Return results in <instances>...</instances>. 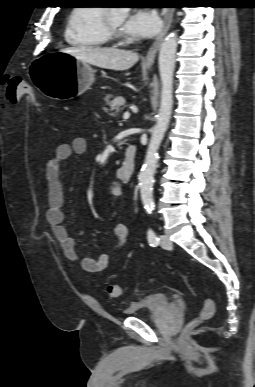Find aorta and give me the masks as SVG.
<instances>
[{"instance_id": "aorta-1", "label": "aorta", "mask_w": 255, "mask_h": 387, "mask_svg": "<svg viewBox=\"0 0 255 387\" xmlns=\"http://www.w3.org/2000/svg\"><path fill=\"white\" fill-rule=\"evenodd\" d=\"M126 14L127 7L118 10ZM177 51V36L169 34L163 40L159 50V73L161 79L160 108L156 118V125L152 129V136L146 153L144 165L139 174V186L141 200L147 213L154 210L153 184L154 173L158 163V149L164 134L168 128L173 107V74L175 69V57Z\"/></svg>"}]
</instances>
